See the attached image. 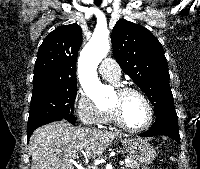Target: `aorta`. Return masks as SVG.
<instances>
[{
	"instance_id": "obj_1",
	"label": "aorta",
	"mask_w": 200,
	"mask_h": 169,
	"mask_svg": "<svg viewBox=\"0 0 200 169\" xmlns=\"http://www.w3.org/2000/svg\"><path fill=\"white\" fill-rule=\"evenodd\" d=\"M109 50L108 38L94 34L80 53L79 79L85 93L95 102L104 99L109 92L97 77V67Z\"/></svg>"
}]
</instances>
